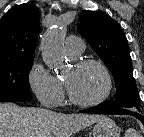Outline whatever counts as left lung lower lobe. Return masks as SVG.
I'll list each match as a JSON object with an SVG mask.
<instances>
[{
  "label": "left lung lower lobe",
  "instance_id": "0a47b994",
  "mask_svg": "<svg viewBox=\"0 0 144 137\" xmlns=\"http://www.w3.org/2000/svg\"><path fill=\"white\" fill-rule=\"evenodd\" d=\"M140 111V110H138ZM80 113H94V114H117V115H132L138 118L144 125V116L138 112H133L124 108H110L106 103L97 105L96 107H91L80 111Z\"/></svg>",
  "mask_w": 144,
  "mask_h": 137
}]
</instances>
